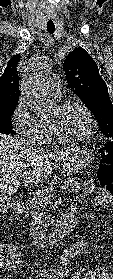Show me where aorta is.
Listing matches in <instances>:
<instances>
[{"instance_id": "762f6f07", "label": "aorta", "mask_w": 113, "mask_h": 279, "mask_svg": "<svg viewBox=\"0 0 113 279\" xmlns=\"http://www.w3.org/2000/svg\"><path fill=\"white\" fill-rule=\"evenodd\" d=\"M48 67L49 64H42L40 66V69L46 70L48 69ZM22 92L31 101L34 111H36L37 113H46L48 111L49 106L45 98L38 97L33 90L26 87L22 88Z\"/></svg>"}]
</instances>
